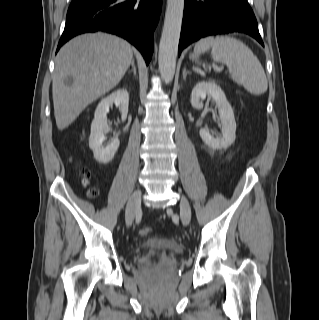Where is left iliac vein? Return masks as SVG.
Instances as JSON below:
<instances>
[{"mask_svg": "<svg viewBox=\"0 0 319 320\" xmlns=\"http://www.w3.org/2000/svg\"><path fill=\"white\" fill-rule=\"evenodd\" d=\"M180 209L181 221L184 226H187L191 219V209L188 200L184 196H181L180 199Z\"/></svg>", "mask_w": 319, "mask_h": 320, "instance_id": "left-iliac-vein-1", "label": "left iliac vein"}]
</instances>
